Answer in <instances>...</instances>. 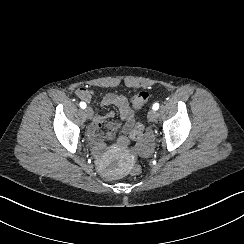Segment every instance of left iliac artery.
Here are the masks:
<instances>
[{
	"instance_id": "left-iliac-artery-1",
	"label": "left iliac artery",
	"mask_w": 244,
	"mask_h": 244,
	"mask_svg": "<svg viewBox=\"0 0 244 244\" xmlns=\"http://www.w3.org/2000/svg\"><path fill=\"white\" fill-rule=\"evenodd\" d=\"M159 108V104L158 103H155L152 107L153 110H158Z\"/></svg>"
}]
</instances>
